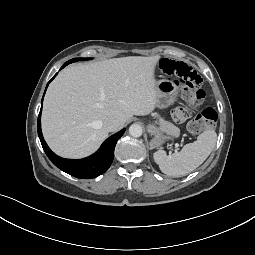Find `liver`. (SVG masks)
<instances>
[{
	"label": "liver",
	"instance_id": "1",
	"mask_svg": "<svg viewBox=\"0 0 255 255\" xmlns=\"http://www.w3.org/2000/svg\"><path fill=\"white\" fill-rule=\"evenodd\" d=\"M160 56H129L62 70L43 103L42 131L50 148L66 158L90 155L108 136L104 122L121 128L133 115L157 106L154 71Z\"/></svg>",
	"mask_w": 255,
	"mask_h": 255
}]
</instances>
